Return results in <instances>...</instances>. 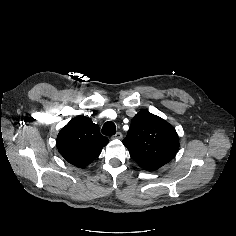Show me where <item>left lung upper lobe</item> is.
<instances>
[{"instance_id": "1", "label": "left lung upper lobe", "mask_w": 236, "mask_h": 236, "mask_svg": "<svg viewBox=\"0 0 236 236\" xmlns=\"http://www.w3.org/2000/svg\"><path fill=\"white\" fill-rule=\"evenodd\" d=\"M122 143L128 148L130 156L146 171L157 170L171 161L179 148L174 127L145 109L133 118Z\"/></svg>"}]
</instances>
